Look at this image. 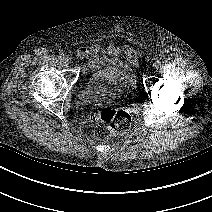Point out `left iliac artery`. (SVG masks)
<instances>
[{
	"instance_id": "left-iliac-artery-1",
	"label": "left iliac artery",
	"mask_w": 212,
	"mask_h": 212,
	"mask_svg": "<svg viewBox=\"0 0 212 212\" xmlns=\"http://www.w3.org/2000/svg\"><path fill=\"white\" fill-rule=\"evenodd\" d=\"M159 65H160L159 62H157V63H155V64L153 65V67H154V68H158Z\"/></svg>"
}]
</instances>
